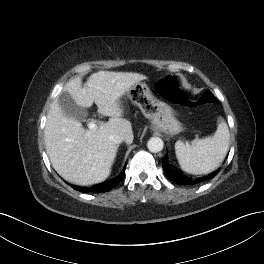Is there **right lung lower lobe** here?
<instances>
[{
	"mask_svg": "<svg viewBox=\"0 0 264 264\" xmlns=\"http://www.w3.org/2000/svg\"><path fill=\"white\" fill-rule=\"evenodd\" d=\"M124 172H122V174H120L117 178H113L111 180H109L106 183L100 184L98 186H95L93 188H84V189H79V191L81 192H107L109 190H111L112 188H114L122 179Z\"/></svg>",
	"mask_w": 264,
	"mask_h": 264,
	"instance_id": "obj_1",
	"label": "right lung lower lobe"
}]
</instances>
